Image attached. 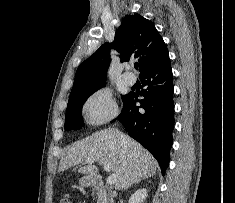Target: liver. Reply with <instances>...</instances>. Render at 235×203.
Listing matches in <instances>:
<instances>
[{
    "instance_id": "liver-1",
    "label": "liver",
    "mask_w": 235,
    "mask_h": 203,
    "mask_svg": "<svg viewBox=\"0 0 235 203\" xmlns=\"http://www.w3.org/2000/svg\"><path fill=\"white\" fill-rule=\"evenodd\" d=\"M91 159L93 162H87ZM89 165L78 169L79 173L96 176L94 162L108 164L116 175L115 189L128 188L134 182L153 176L158 168L154 157L130 136L115 130L95 132L68 147L61 157L58 171L62 172L82 162Z\"/></svg>"
}]
</instances>
